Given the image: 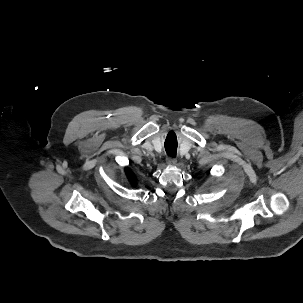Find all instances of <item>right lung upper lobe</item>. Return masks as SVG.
Listing matches in <instances>:
<instances>
[{
	"mask_svg": "<svg viewBox=\"0 0 303 303\" xmlns=\"http://www.w3.org/2000/svg\"><path fill=\"white\" fill-rule=\"evenodd\" d=\"M126 174L131 184H136V179L130 169L126 168Z\"/></svg>",
	"mask_w": 303,
	"mask_h": 303,
	"instance_id": "right-lung-upper-lobe-1",
	"label": "right lung upper lobe"
}]
</instances>
